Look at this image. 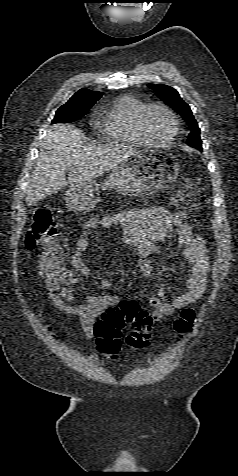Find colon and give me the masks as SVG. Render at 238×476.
Returning a JSON list of instances; mask_svg holds the SVG:
<instances>
[{
	"mask_svg": "<svg viewBox=\"0 0 238 476\" xmlns=\"http://www.w3.org/2000/svg\"><path fill=\"white\" fill-rule=\"evenodd\" d=\"M206 196L200 187L181 179L175 194V203L182 209L197 210L205 205ZM57 223L47 208H38L33 214L32 223L25 238L29 250L44 248L43 274L51 285H61L72 281L68 271L62 265L60 251L56 245ZM196 322V312L185 308L174 321V329L182 337L192 333ZM132 326V331L126 337V344L141 350L149 345L152 319L135 301H121L118 305L109 307L96 323L95 332L98 349L116 358L121 347V331L126 326Z\"/></svg>",
	"mask_w": 238,
	"mask_h": 476,
	"instance_id": "colon-1",
	"label": "colon"
}]
</instances>
